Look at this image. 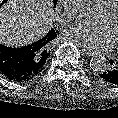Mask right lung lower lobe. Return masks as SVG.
<instances>
[{
	"label": "right lung lower lobe",
	"mask_w": 118,
	"mask_h": 118,
	"mask_svg": "<svg viewBox=\"0 0 118 118\" xmlns=\"http://www.w3.org/2000/svg\"><path fill=\"white\" fill-rule=\"evenodd\" d=\"M31 45L10 48L0 44V73L15 82L32 79L41 71L36 69V56Z\"/></svg>",
	"instance_id": "obj_1"
}]
</instances>
